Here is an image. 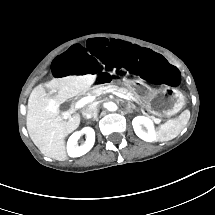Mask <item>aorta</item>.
<instances>
[{
    "label": "aorta",
    "mask_w": 215,
    "mask_h": 215,
    "mask_svg": "<svg viewBox=\"0 0 215 215\" xmlns=\"http://www.w3.org/2000/svg\"><path fill=\"white\" fill-rule=\"evenodd\" d=\"M105 107H106V109L108 111H111V112H114V111H116L118 109L117 104L114 103V102H108V103H106Z\"/></svg>",
    "instance_id": "762f6f07"
}]
</instances>
